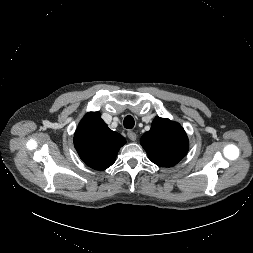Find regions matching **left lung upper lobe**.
Segmentation results:
<instances>
[{
  "instance_id": "obj_1",
  "label": "left lung upper lobe",
  "mask_w": 253,
  "mask_h": 253,
  "mask_svg": "<svg viewBox=\"0 0 253 253\" xmlns=\"http://www.w3.org/2000/svg\"><path fill=\"white\" fill-rule=\"evenodd\" d=\"M140 143L149 159L162 167L176 165L188 152L189 141L180 124L155 117Z\"/></svg>"
}]
</instances>
